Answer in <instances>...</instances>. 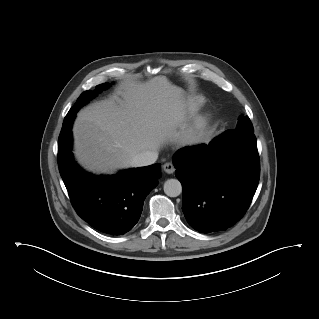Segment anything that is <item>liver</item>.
I'll list each match as a JSON object with an SVG mask.
<instances>
[{
  "instance_id": "obj_1",
  "label": "liver",
  "mask_w": 319,
  "mask_h": 319,
  "mask_svg": "<svg viewBox=\"0 0 319 319\" xmlns=\"http://www.w3.org/2000/svg\"><path fill=\"white\" fill-rule=\"evenodd\" d=\"M72 131L75 156L86 170L110 174L128 168L140 153L187 142L184 92L165 76L127 81L110 98L82 109Z\"/></svg>"
}]
</instances>
